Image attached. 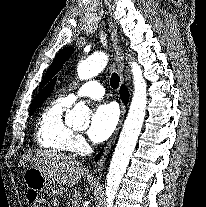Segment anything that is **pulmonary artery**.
Here are the masks:
<instances>
[{"instance_id": "pulmonary-artery-1", "label": "pulmonary artery", "mask_w": 206, "mask_h": 207, "mask_svg": "<svg viewBox=\"0 0 206 207\" xmlns=\"http://www.w3.org/2000/svg\"><path fill=\"white\" fill-rule=\"evenodd\" d=\"M104 94V87L96 79H91L81 85L76 92L69 93L66 98L69 102L74 103L82 97L100 99Z\"/></svg>"}]
</instances>
